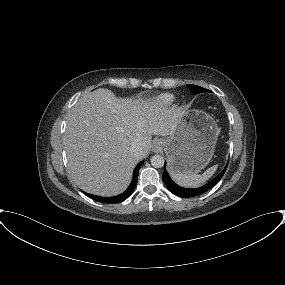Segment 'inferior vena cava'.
I'll return each instance as SVG.
<instances>
[{
    "label": "inferior vena cava",
    "instance_id": "inferior-vena-cava-1",
    "mask_svg": "<svg viewBox=\"0 0 285 285\" xmlns=\"http://www.w3.org/2000/svg\"><path fill=\"white\" fill-rule=\"evenodd\" d=\"M130 151L134 156L138 157V156H140V154L142 152V147L139 143L134 142L131 145Z\"/></svg>",
    "mask_w": 285,
    "mask_h": 285
}]
</instances>
